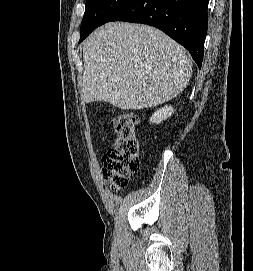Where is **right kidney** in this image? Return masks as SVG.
<instances>
[{
  "label": "right kidney",
  "mask_w": 253,
  "mask_h": 271,
  "mask_svg": "<svg viewBox=\"0 0 253 271\" xmlns=\"http://www.w3.org/2000/svg\"><path fill=\"white\" fill-rule=\"evenodd\" d=\"M173 112V107L166 105L154 112V114L150 118V123H161L163 120H166L168 117H170Z\"/></svg>",
  "instance_id": "ca27d5eb"
}]
</instances>
